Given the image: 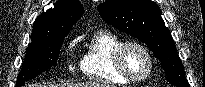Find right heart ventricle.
I'll return each mask as SVG.
<instances>
[{"label": "right heart ventricle", "mask_w": 205, "mask_h": 87, "mask_svg": "<svg viewBox=\"0 0 205 87\" xmlns=\"http://www.w3.org/2000/svg\"><path fill=\"white\" fill-rule=\"evenodd\" d=\"M122 42L107 30H100L89 39L81 58V70L88 80L100 84L129 83L116 72L112 62L113 53Z\"/></svg>", "instance_id": "obj_1"}]
</instances>
